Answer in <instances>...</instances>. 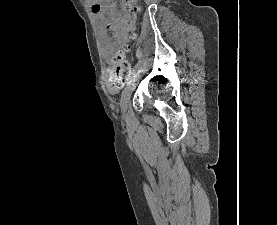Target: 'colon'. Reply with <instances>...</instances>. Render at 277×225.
<instances>
[{
  "label": "colon",
  "mask_w": 277,
  "mask_h": 225,
  "mask_svg": "<svg viewBox=\"0 0 277 225\" xmlns=\"http://www.w3.org/2000/svg\"><path fill=\"white\" fill-rule=\"evenodd\" d=\"M132 11H137L138 7L132 6ZM133 37V34H131ZM130 44H125L121 51H119L111 61L112 75L111 79L114 84L124 83L130 75V66L127 60V54L130 53Z\"/></svg>",
  "instance_id": "colon-1"
}]
</instances>
